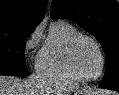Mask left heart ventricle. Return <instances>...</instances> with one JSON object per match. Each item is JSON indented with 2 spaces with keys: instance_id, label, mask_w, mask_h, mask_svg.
I'll return each mask as SVG.
<instances>
[{
  "instance_id": "left-heart-ventricle-1",
  "label": "left heart ventricle",
  "mask_w": 119,
  "mask_h": 95,
  "mask_svg": "<svg viewBox=\"0 0 119 95\" xmlns=\"http://www.w3.org/2000/svg\"><path fill=\"white\" fill-rule=\"evenodd\" d=\"M75 64L85 76H96L101 68V56L97 47L88 40H81L75 50Z\"/></svg>"
}]
</instances>
